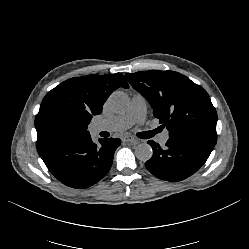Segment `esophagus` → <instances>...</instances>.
Returning <instances> with one entry per match:
<instances>
[{
	"label": "esophagus",
	"mask_w": 249,
	"mask_h": 249,
	"mask_svg": "<svg viewBox=\"0 0 249 249\" xmlns=\"http://www.w3.org/2000/svg\"><path fill=\"white\" fill-rule=\"evenodd\" d=\"M133 140H134V138L132 136L127 135V136L122 137V141H124V142H131Z\"/></svg>",
	"instance_id": "esophagus-1"
}]
</instances>
